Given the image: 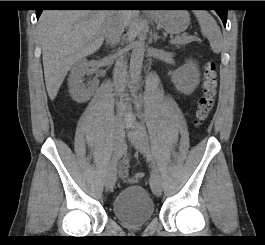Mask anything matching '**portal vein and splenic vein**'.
I'll use <instances>...</instances> for the list:
<instances>
[{"label": "portal vein and splenic vein", "instance_id": "1", "mask_svg": "<svg viewBox=\"0 0 265 245\" xmlns=\"http://www.w3.org/2000/svg\"><path fill=\"white\" fill-rule=\"evenodd\" d=\"M187 37L192 38L191 36H187ZM176 40H177V38H172V39L169 41V43H170V44H174Z\"/></svg>", "mask_w": 265, "mask_h": 245}]
</instances>
